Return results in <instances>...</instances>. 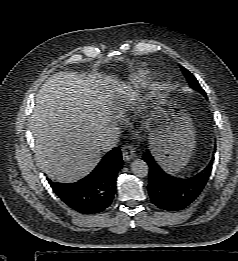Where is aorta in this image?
Wrapping results in <instances>:
<instances>
[{"label": "aorta", "mask_w": 238, "mask_h": 261, "mask_svg": "<svg viewBox=\"0 0 238 261\" xmlns=\"http://www.w3.org/2000/svg\"><path fill=\"white\" fill-rule=\"evenodd\" d=\"M131 171L132 173L140 178L146 177L148 175V165L142 159H135L131 163Z\"/></svg>", "instance_id": "obj_1"}]
</instances>
